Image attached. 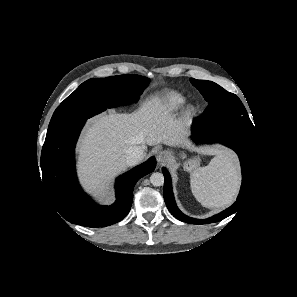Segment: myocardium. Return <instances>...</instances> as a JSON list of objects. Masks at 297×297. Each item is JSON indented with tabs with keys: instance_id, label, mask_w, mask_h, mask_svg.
I'll use <instances>...</instances> for the list:
<instances>
[{
	"instance_id": "1",
	"label": "myocardium",
	"mask_w": 297,
	"mask_h": 297,
	"mask_svg": "<svg viewBox=\"0 0 297 297\" xmlns=\"http://www.w3.org/2000/svg\"><path fill=\"white\" fill-rule=\"evenodd\" d=\"M184 119L191 120L197 115V109L193 105L187 106L184 110Z\"/></svg>"
}]
</instances>
